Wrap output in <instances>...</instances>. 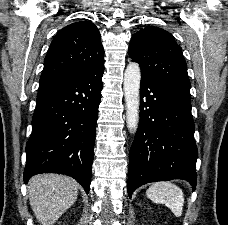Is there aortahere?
<instances>
[{
	"label": "aorta",
	"mask_w": 228,
	"mask_h": 225,
	"mask_svg": "<svg viewBox=\"0 0 228 225\" xmlns=\"http://www.w3.org/2000/svg\"><path fill=\"white\" fill-rule=\"evenodd\" d=\"M140 66L138 62L127 64L124 72V96L126 102L127 127L134 135L139 123V88H140Z\"/></svg>",
	"instance_id": "762f6f07"
}]
</instances>
